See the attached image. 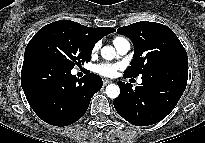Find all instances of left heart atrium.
I'll return each mask as SVG.
<instances>
[{
    "label": "left heart atrium",
    "instance_id": "1",
    "mask_svg": "<svg viewBox=\"0 0 205 143\" xmlns=\"http://www.w3.org/2000/svg\"><path fill=\"white\" fill-rule=\"evenodd\" d=\"M119 67L118 64L101 63L95 67V71L105 77H114Z\"/></svg>",
    "mask_w": 205,
    "mask_h": 143
}]
</instances>
